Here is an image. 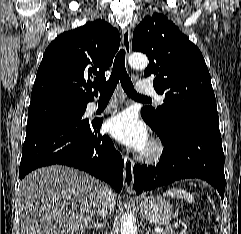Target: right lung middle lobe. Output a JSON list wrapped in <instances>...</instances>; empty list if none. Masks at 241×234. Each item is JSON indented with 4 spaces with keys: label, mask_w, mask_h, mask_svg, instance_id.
Segmentation results:
<instances>
[{
    "label": "right lung middle lobe",
    "mask_w": 241,
    "mask_h": 234,
    "mask_svg": "<svg viewBox=\"0 0 241 234\" xmlns=\"http://www.w3.org/2000/svg\"><path fill=\"white\" fill-rule=\"evenodd\" d=\"M87 104L51 101L30 105L28 121L41 118L77 116L85 112Z\"/></svg>",
    "instance_id": "dd1d6c3e"
}]
</instances>
